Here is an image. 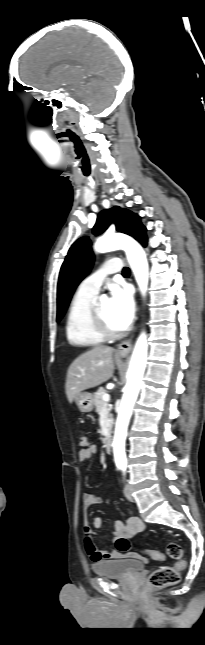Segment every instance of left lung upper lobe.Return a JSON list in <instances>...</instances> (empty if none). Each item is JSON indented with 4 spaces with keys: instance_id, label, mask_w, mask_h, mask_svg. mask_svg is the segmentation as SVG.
<instances>
[{
    "instance_id": "5c2ea615",
    "label": "left lung upper lobe",
    "mask_w": 205,
    "mask_h": 645,
    "mask_svg": "<svg viewBox=\"0 0 205 645\" xmlns=\"http://www.w3.org/2000/svg\"><path fill=\"white\" fill-rule=\"evenodd\" d=\"M111 223L116 225L117 231L128 234L139 242L145 236L146 228L141 224L140 217L118 206L99 213L93 234L103 233ZM91 245L87 236L78 239L62 264L57 288V322L63 317L76 287L92 267L94 254Z\"/></svg>"
}]
</instances>
